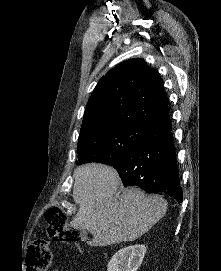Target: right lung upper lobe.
Returning <instances> with one entry per match:
<instances>
[{"mask_svg": "<svg viewBox=\"0 0 221 271\" xmlns=\"http://www.w3.org/2000/svg\"><path fill=\"white\" fill-rule=\"evenodd\" d=\"M169 117L168 98L155 69L130 59L103 76L87 103L80 136L109 126L146 129Z\"/></svg>", "mask_w": 221, "mask_h": 271, "instance_id": "1", "label": "right lung upper lobe"}]
</instances>
